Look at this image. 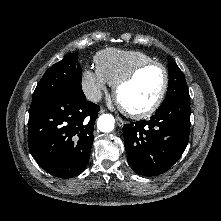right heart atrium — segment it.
<instances>
[{
    "instance_id": "d8ad5b80",
    "label": "right heart atrium",
    "mask_w": 221,
    "mask_h": 221,
    "mask_svg": "<svg viewBox=\"0 0 221 221\" xmlns=\"http://www.w3.org/2000/svg\"><path fill=\"white\" fill-rule=\"evenodd\" d=\"M107 85L108 82L96 70L86 69L82 74L81 89L90 101L98 100Z\"/></svg>"
}]
</instances>
